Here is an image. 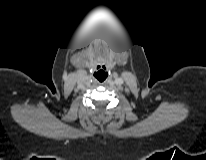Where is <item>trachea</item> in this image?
<instances>
[{"label":"trachea","instance_id":"trachea-1","mask_svg":"<svg viewBox=\"0 0 206 160\" xmlns=\"http://www.w3.org/2000/svg\"><path fill=\"white\" fill-rule=\"evenodd\" d=\"M94 76L100 81V82H103L106 77L108 76V74L103 71V70H100L98 71L97 73H94Z\"/></svg>","mask_w":206,"mask_h":160}]
</instances>
